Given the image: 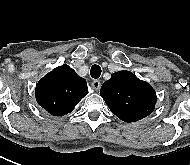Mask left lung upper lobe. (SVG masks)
<instances>
[{
  "label": "left lung upper lobe",
  "mask_w": 190,
  "mask_h": 165,
  "mask_svg": "<svg viewBox=\"0 0 190 165\" xmlns=\"http://www.w3.org/2000/svg\"><path fill=\"white\" fill-rule=\"evenodd\" d=\"M101 96L118 118L135 122L153 112L156 93L145 81L130 71H118L101 87Z\"/></svg>",
  "instance_id": "5c2ea615"
}]
</instances>
